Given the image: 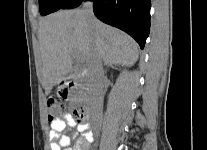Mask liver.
I'll list each match as a JSON object with an SVG mask.
<instances>
[{
	"instance_id": "1",
	"label": "liver",
	"mask_w": 207,
	"mask_h": 150,
	"mask_svg": "<svg viewBox=\"0 0 207 150\" xmlns=\"http://www.w3.org/2000/svg\"><path fill=\"white\" fill-rule=\"evenodd\" d=\"M38 38L47 95L71 72L75 56L89 65L93 54H97L109 66H132L139 57L138 45L130 36L97 19L89 23L81 9L59 11L43 18Z\"/></svg>"
}]
</instances>
